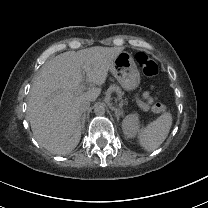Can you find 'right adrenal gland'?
I'll return each mask as SVG.
<instances>
[{
  "label": "right adrenal gland",
  "mask_w": 208,
  "mask_h": 208,
  "mask_svg": "<svg viewBox=\"0 0 208 208\" xmlns=\"http://www.w3.org/2000/svg\"><path fill=\"white\" fill-rule=\"evenodd\" d=\"M80 119H81V126H82V128H84L85 127V113L84 114H80Z\"/></svg>",
  "instance_id": "1"
}]
</instances>
